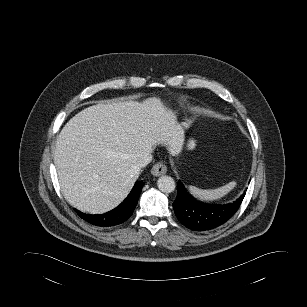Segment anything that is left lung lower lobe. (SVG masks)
Returning a JSON list of instances; mask_svg holds the SVG:
<instances>
[{
    "mask_svg": "<svg viewBox=\"0 0 307 307\" xmlns=\"http://www.w3.org/2000/svg\"><path fill=\"white\" fill-rule=\"evenodd\" d=\"M246 192L228 204H206L193 198L182 183L177 184V198L173 202L178 220L194 231H206L224 224L240 207Z\"/></svg>",
    "mask_w": 307,
    "mask_h": 307,
    "instance_id": "0a47b994",
    "label": "left lung lower lobe"
}]
</instances>
